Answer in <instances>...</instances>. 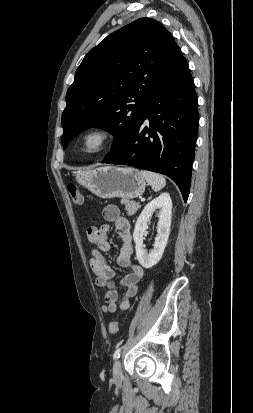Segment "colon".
<instances>
[{"mask_svg": "<svg viewBox=\"0 0 253 413\" xmlns=\"http://www.w3.org/2000/svg\"><path fill=\"white\" fill-rule=\"evenodd\" d=\"M67 191H68L69 196L71 197L72 201L75 204H78V205L82 204L83 196H82L79 188L75 184H73V183L68 184ZM118 330H119V323L117 321H113L109 324V333L110 334H116L118 332Z\"/></svg>", "mask_w": 253, "mask_h": 413, "instance_id": "obj_1", "label": "colon"}]
</instances>
